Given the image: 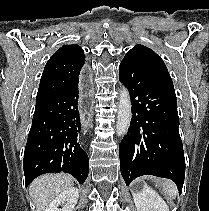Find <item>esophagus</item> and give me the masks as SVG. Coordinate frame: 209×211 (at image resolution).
I'll return each instance as SVG.
<instances>
[{
  "mask_svg": "<svg viewBox=\"0 0 209 211\" xmlns=\"http://www.w3.org/2000/svg\"><path fill=\"white\" fill-rule=\"evenodd\" d=\"M84 72H89L90 68L88 64L84 65ZM80 78L82 82H80V87L82 93H80V98H78L77 106L78 109H81L80 117L81 120L84 121V129H89V121H93V112H90V109H93V98L92 93L89 91H94L93 82H91V77H88L87 74H81Z\"/></svg>",
  "mask_w": 209,
  "mask_h": 211,
  "instance_id": "esophagus-1",
  "label": "esophagus"
}]
</instances>
